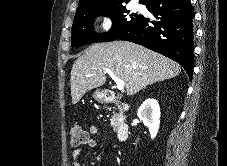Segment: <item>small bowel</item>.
I'll use <instances>...</instances> for the list:
<instances>
[{
  "label": "small bowel",
  "instance_id": "c3829d8e",
  "mask_svg": "<svg viewBox=\"0 0 227 166\" xmlns=\"http://www.w3.org/2000/svg\"><path fill=\"white\" fill-rule=\"evenodd\" d=\"M89 133L91 134V135H97L98 133H99V129H98V127L97 126H95V125H91L90 127H89ZM96 140L95 139H90L89 140V142L87 143V146L89 147V148H94L95 146H96ZM108 150H110V149H108ZM102 156H103V154H99L98 156H96V158H95V160L97 161V162H99L101 159H102ZM80 157H81V152H80V150H75L74 152H73V163H72V166H82L81 165V162H80Z\"/></svg>",
  "mask_w": 227,
  "mask_h": 166
}]
</instances>
